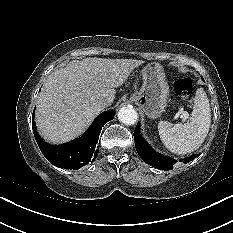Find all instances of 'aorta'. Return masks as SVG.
Segmentation results:
<instances>
[{
    "label": "aorta",
    "mask_w": 233,
    "mask_h": 233,
    "mask_svg": "<svg viewBox=\"0 0 233 233\" xmlns=\"http://www.w3.org/2000/svg\"><path fill=\"white\" fill-rule=\"evenodd\" d=\"M118 119L125 125H134L138 120L136 110L131 106L122 107L118 112Z\"/></svg>",
    "instance_id": "aorta-1"
}]
</instances>
